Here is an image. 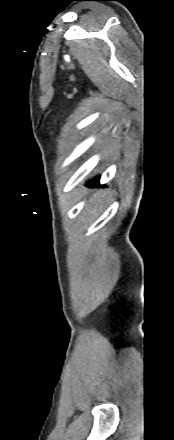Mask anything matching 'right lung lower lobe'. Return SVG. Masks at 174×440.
Returning a JSON list of instances; mask_svg holds the SVG:
<instances>
[{"label": "right lung lower lobe", "mask_w": 174, "mask_h": 440, "mask_svg": "<svg viewBox=\"0 0 174 440\" xmlns=\"http://www.w3.org/2000/svg\"><path fill=\"white\" fill-rule=\"evenodd\" d=\"M98 185H99V178H96L95 180H92V181L89 183V186H90V187L98 186Z\"/></svg>", "instance_id": "1"}]
</instances>
